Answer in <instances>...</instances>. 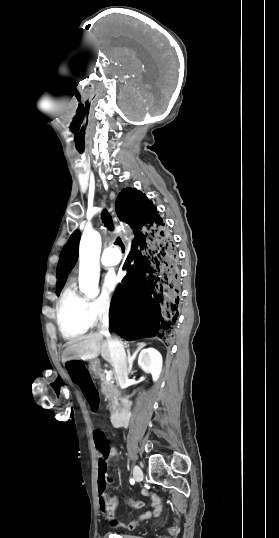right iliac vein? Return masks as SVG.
<instances>
[{
  "label": "right iliac vein",
  "instance_id": "1",
  "mask_svg": "<svg viewBox=\"0 0 279 538\" xmlns=\"http://www.w3.org/2000/svg\"><path fill=\"white\" fill-rule=\"evenodd\" d=\"M133 476L137 482H141L143 479V473L139 466H135L133 469Z\"/></svg>",
  "mask_w": 279,
  "mask_h": 538
}]
</instances>
